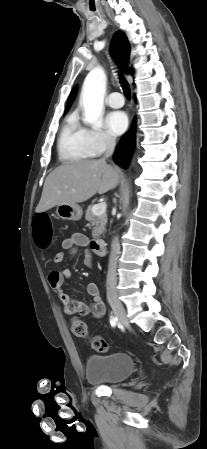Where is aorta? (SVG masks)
Returning a JSON list of instances; mask_svg holds the SVG:
<instances>
[{
  "label": "aorta",
  "mask_w": 207,
  "mask_h": 449,
  "mask_svg": "<svg viewBox=\"0 0 207 449\" xmlns=\"http://www.w3.org/2000/svg\"><path fill=\"white\" fill-rule=\"evenodd\" d=\"M105 89L106 74L104 70L97 67L90 71L85 78L81 93L85 123L95 127L100 126Z\"/></svg>",
  "instance_id": "762f6f07"
}]
</instances>
